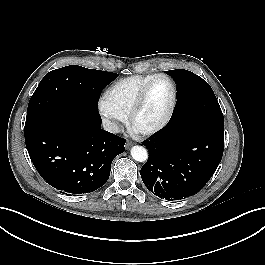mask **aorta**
Masks as SVG:
<instances>
[{
	"instance_id": "obj_1",
	"label": "aorta",
	"mask_w": 265,
	"mask_h": 265,
	"mask_svg": "<svg viewBox=\"0 0 265 265\" xmlns=\"http://www.w3.org/2000/svg\"><path fill=\"white\" fill-rule=\"evenodd\" d=\"M131 156L138 162H144L148 159V152L143 146H133L131 148Z\"/></svg>"
}]
</instances>
